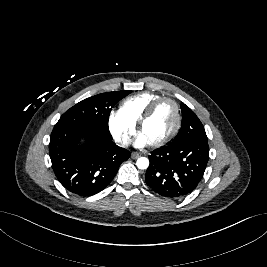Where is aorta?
<instances>
[{
  "mask_svg": "<svg viewBox=\"0 0 267 267\" xmlns=\"http://www.w3.org/2000/svg\"><path fill=\"white\" fill-rule=\"evenodd\" d=\"M136 165L139 169H147L149 166V160L146 157H140L137 159Z\"/></svg>",
  "mask_w": 267,
  "mask_h": 267,
  "instance_id": "762f6f07",
  "label": "aorta"
}]
</instances>
